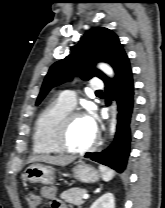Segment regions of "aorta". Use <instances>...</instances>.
<instances>
[{"mask_svg": "<svg viewBox=\"0 0 165 208\" xmlns=\"http://www.w3.org/2000/svg\"><path fill=\"white\" fill-rule=\"evenodd\" d=\"M99 68L104 72L106 73L108 76H113V70L112 68L107 65V64H100L99 65ZM115 131V124H112L111 126V132L114 133Z\"/></svg>", "mask_w": 165, "mask_h": 208, "instance_id": "obj_1", "label": "aorta"}]
</instances>
